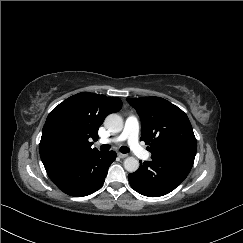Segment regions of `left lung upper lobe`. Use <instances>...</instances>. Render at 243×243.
<instances>
[{"label":"left lung upper lobe","instance_id":"5c2ea615","mask_svg":"<svg viewBox=\"0 0 243 243\" xmlns=\"http://www.w3.org/2000/svg\"><path fill=\"white\" fill-rule=\"evenodd\" d=\"M142 122L141 140L155 159L175 153L196 154V138L187 115L160 97L127 98Z\"/></svg>","mask_w":243,"mask_h":243}]
</instances>
